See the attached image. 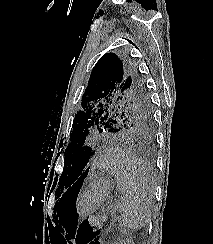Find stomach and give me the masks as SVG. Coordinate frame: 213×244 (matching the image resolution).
Wrapping results in <instances>:
<instances>
[{"label":"stomach","instance_id":"1","mask_svg":"<svg viewBox=\"0 0 213 244\" xmlns=\"http://www.w3.org/2000/svg\"><path fill=\"white\" fill-rule=\"evenodd\" d=\"M113 182L109 177L93 180L80 198V214L91 215L97 211L108 199Z\"/></svg>","mask_w":213,"mask_h":244}]
</instances>
